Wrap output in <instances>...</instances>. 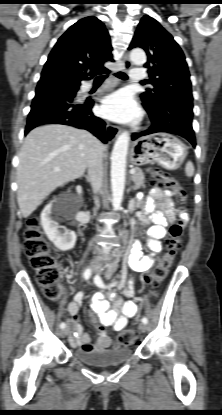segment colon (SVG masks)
I'll list each match as a JSON object with an SVG mask.
<instances>
[{
	"label": "colon",
	"mask_w": 222,
	"mask_h": 415,
	"mask_svg": "<svg viewBox=\"0 0 222 415\" xmlns=\"http://www.w3.org/2000/svg\"><path fill=\"white\" fill-rule=\"evenodd\" d=\"M153 181L159 182L164 187L170 189L181 202H186V195L178 181L174 178L153 171ZM183 232V221H178L171 226L170 238L164 255L144 276V283L149 289H157L167 275ZM24 251L30 259L31 266L37 273L38 282L44 287L46 297L50 300L58 299L62 293V286L59 283L61 263L50 251L47 241L43 238L39 230V220L37 217H30L27 220ZM103 328L101 327V329ZM138 339L139 335L136 331L126 330L119 334L113 343V348L128 345Z\"/></svg>",
	"instance_id": "5ec220e1"
}]
</instances>
